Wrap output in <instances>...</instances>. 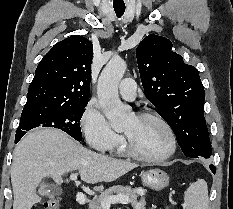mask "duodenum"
<instances>
[{"mask_svg": "<svg viewBox=\"0 0 233 209\" xmlns=\"http://www.w3.org/2000/svg\"><path fill=\"white\" fill-rule=\"evenodd\" d=\"M76 203L78 205H85L87 203V197L85 194L83 193H78L76 195Z\"/></svg>", "mask_w": 233, "mask_h": 209, "instance_id": "obj_1", "label": "duodenum"}]
</instances>
